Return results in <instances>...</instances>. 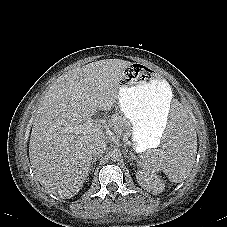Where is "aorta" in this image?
<instances>
[{
	"instance_id": "obj_1",
	"label": "aorta",
	"mask_w": 227,
	"mask_h": 227,
	"mask_svg": "<svg viewBox=\"0 0 227 227\" xmlns=\"http://www.w3.org/2000/svg\"><path fill=\"white\" fill-rule=\"evenodd\" d=\"M122 157V154L120 152V150H113L111 153H110V158L112 161H119Z\"/></svg>"
}]
</instances>
